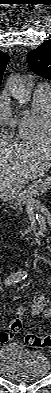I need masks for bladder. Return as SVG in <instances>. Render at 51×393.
Segmentation results:
<instances>
[{
    "instance_id": "1",
    "label": "bladder",
    "mask_w": 51,
    "mask_h": 393,
    "mask_svg": "<svg viewBox=\"0 0 51 393\" xmlns=\"http://www.w3.org/2000/svg\"><path fill=\"white\" fill-rule=\"evenodd\" d=\"M0 369L8 379L30 382L47 376L50 362L41 351L9 344L0 349Z\"/></svg>"
}]
</instances>
